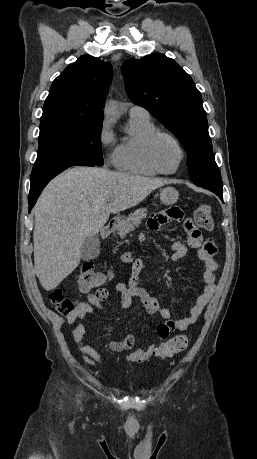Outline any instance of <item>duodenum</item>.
Returning <instances> with one entry per match:
<instances>
[{
	"mask_svg": "<svg viewBox=\"0 0 257 459\" xmlns=\"http://www.w3.org/2000/svg\"><path fill=\"white\" fill-rule=\"evenodd\" d=\"M118 222L113 220V221H110L106 226H104L101 230V236L103 238H107L109 237L112 232L114 231V229L116 228Z\"/></svg>",
	"mask_w": 257,
	"mask_h": 459,
	"instance_id": "1",
	"label": "duodenum"
}]
</instances>
